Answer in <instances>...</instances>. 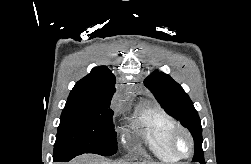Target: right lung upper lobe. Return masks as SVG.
I'll list each match as a JSON object with an SVG mask.
<instances>
[{
  "label": "right lung upper lobe",
  "instance_id": "obj_1",
  "mask_svg": "<svg viewBox=\"0 0 251 164\" xmlns=\"http://www.w3.org/2000/svg\"><path fill=\"white\" fill-rule=\"evenodd\" d=\"M115 82V76L107 67H95L75 84L68 99L110 104Z\"/></svg>",
  "mask_w": 251,
  "mask_h": 164
}]
</instances>
